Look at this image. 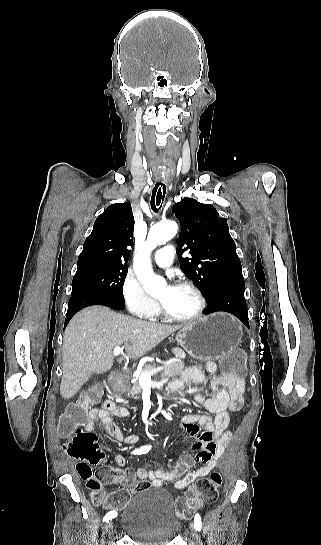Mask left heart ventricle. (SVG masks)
I'll return each instance as SVG.
<instances>
[{
	"instance_id": "left-heart-ventricle-1",
	"label": "left heart ventricle",
	"mask_w": 321,
	"mask_h": 545,
	"mask_svg": "<svg viewBox=\"0 0 321 545\" xmlns=\"http://www.w3.org/2000/svg\"><path fill=\"white\" fill-rule=\"evenodd\" d=\"M159 302L168 312L178 316L193 315L198 308V299L192 291L176 287L165 286Z\"/></svg>"
}]
</instances>
